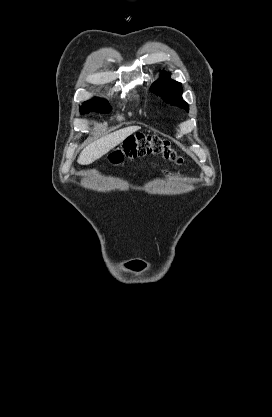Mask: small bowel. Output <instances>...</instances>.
I'll list each match as a JSON object with an SVG mask.
<instances>
[{
  "label": "small bowel",
  "mask_w": 272,
  "mask_h": 417,
  "mask_svg": "<svg viewBox=\"0 0 272 417\" xmlns=\"http://www.w3.org/2000/svg\"><path fill=\"white\" fill-rule=\"evenodd\" d=\"M151 172H152V170L150 169V170L140 171L138 174H139V175H145V174H149V173H151Z\"/></svg>",
  "instance_id": "c3829d8e"
}]
</instances>
